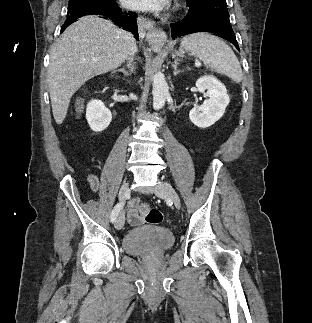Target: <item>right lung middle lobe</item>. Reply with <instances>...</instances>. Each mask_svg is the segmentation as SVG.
<instances>
[{
    "label": "right lung middle lobe",
    "mask_w": 312,
    "mask_h": 323,
    "mask_svg": "<svg viewBox=\"0 0 312 323\" xmlns=\"http://www.w3.org/2000/svg\"><path fill=\"white\" fill-rule=\"evenodd\" d=\"M116 5L115 0H69L67 15L92 7H112Z\"/></svg>",
    "instance_id": "right-lung-middle-lobe-1"
}]
</instances>
